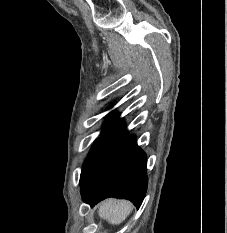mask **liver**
<instances>
[{
    "label": "liver",
    "instance_id": "liver-1",
    "mask_svg": "<svg viewBox=\"0 0 227 233\" xmlns=\"http://www.w3.org/2000/svg\"><path fill=\"white\" fill-rule=\"evenodd\" d=\"M132 204L128 201L108 199L98 207V215L112 225L122 223L132 211Z\"/></svg>",
    "mask_w": 227,
    "mask_h": 233
}]
</instances>
